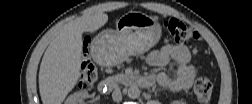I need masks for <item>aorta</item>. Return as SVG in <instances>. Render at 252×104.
Returning <instances> with one entry per match:
<instances>
[{
  "label": "aorta",
  "mask_w": 252,
  "mask_h": 104,
  "mask_svg": "<svg viewBox=\"0 0 252 104\" xmlns=\"http://www.w3.org/2000/svg\"><path fill=\"white\" fill-rule=\"evenodd\" d=\"M140 94H141V91L137 86H130L127 90V95L131 99L139 98Z\"/></svg>",
  "instance_id": "1"
}]
</instances>
